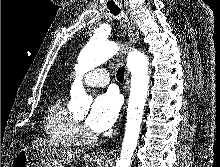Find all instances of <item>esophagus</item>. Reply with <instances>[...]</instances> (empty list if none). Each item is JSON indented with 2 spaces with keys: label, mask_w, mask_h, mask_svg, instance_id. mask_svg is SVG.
<instances>
[{
  "label": "esophagus",
  "mask_w": 220,
  "mask_h": 167,
  "mask_svg": "<svg viewBox=\"0 0 220 167\" xmlns=\"http://www.w3.org/2000/svg\"><path fill=\"white\" fill-rule=\"evenodd\" d=\"M127 13L129 14V45L130 48L134 46L138 40H139V32L137 29V26L135 24V21L133 19L132 13L129 9H127ZM129 87V72L125 71V84H124V93L126 94L127 89ZM108 154L104 151H99L95 155V159L97 160H103L107 158Z\"/></svg>",
  "instance_id": "34e87169"
}]
</instances>
